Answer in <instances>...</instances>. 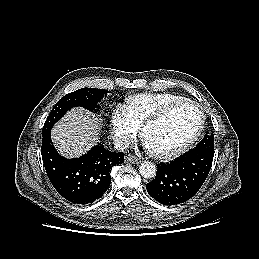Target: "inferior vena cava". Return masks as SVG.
I'll return each instance as SVG.
<instances>
[{
  "label": "inferior vena cava",
  "mask_w": 259,
  "mask_h": 259,
  "mask_svg": "<svg viewBox=\"0 0 259 259\" xmlns=\"http://www.w3.org/2000/svg\"><path fill=\"white\" fill-rule=\"evenodd\" d=\"M114 147L119 151H124L129 148V141L123 138H116L113 142Z\"/></svg>",
  "instance_id": "obj_1"
}]
</instances>
